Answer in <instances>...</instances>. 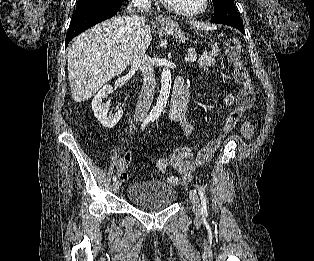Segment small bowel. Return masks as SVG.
I'll list each match as a JSON object with an SVG mask.
<instances>
[{
  "label": "small bowel",
  "instance_id": "c3829d8e",
  "mask_svg": "<svg viewBox=\"0 0 314 261\" xmlns=\"http://www.w3.org/2000/svg\"><path fill=\"white\" fill-rule=\"evenodd\" d=\"M221 99L227 107L233 105L234 98L231 94H223ZM171 119L182 128L185 139L191 141L194 137L195 130L193 121L184 112L174 114L171 116ZM241 132L246 139H249L253 133L251 124L249 122H244L241 125ZM194 157L195 154L191 149L184 146L176 147L171 151L169 160L164 158L159 159L156 162V167L168 184L176 186L180 183V180L184 182L189 181L190 171L195 168V165H193ZM130 161L131 152H127L116 161V171L120 181L124 182L130 179V175L126 172V168ZM169 164L176 169L179 177L169 172Z\"/></svg>",
  "mask_w": 314,
  "mask_h": 261
}]
</instances>
